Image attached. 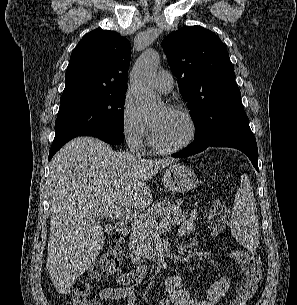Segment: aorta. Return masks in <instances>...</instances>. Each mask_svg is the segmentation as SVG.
Instances as JSON below:
<instances>
[{"instance_id":"obj_1","label":"aorta","mask_w":297,"mask_h":305,"mask_svg":"<svg viewBox=\"0 0 297 305\" xmlns=\"http://www.w3.org/2000/svg\"><path fill=\"white\" fill-rule=\"evenodd\" d=\"M158 65L159 54L148 49L138 58L130 74V85L136 106L145 115L154 114L161 107L153 82Z\"/></svg>"}]
</instances>
